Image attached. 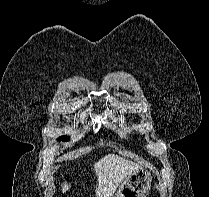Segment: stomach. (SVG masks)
<instances>
[{
	"label": "stomach",
	"mask_w": 209,
	"mask_h": 197,
	"mask_svg": "<svg viewBox=\"0 0 209 197\" xmlns=\"http://www.w3.org/2000/svg\"><path fill=\"white\" fill-rule=\"evenodd\" d=\"M151 181L150 172L140 168L125 179L113 197H146L151 187Z\"/></svg>",
	"instance_id": "0dacf381"
}]
</instances>
